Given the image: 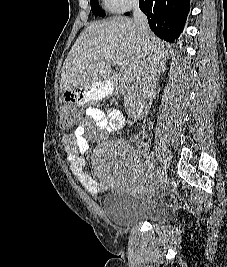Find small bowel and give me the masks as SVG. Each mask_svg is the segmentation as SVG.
I'll list each match as a JSON object with an SVG mask.
<instances>
[{
  "mask_svg": "<svg viewBox=\"0 0 227 267\" xmlns=\"http://www.w3.org/2000/svg\"><path fill=\"white\" fill-rule=\"evenodd\" d=\"M87 119L82 121L74 130L73 134L63 136L65 156L70 164V170L84 189L94 195L103 191V183L86 171V159L84 153L88 150L91 141L103 140L109 134L118 132L125 126L124 115L115 108L106 111L88 106L85 109ZM140 178L136 192L148 195L152 192L146 171H138Z\"/></svg>",
  "mask_w": 227,
  "mask_h": 267,
  "instance_id": "small-bowel-1",
  "label": "small bowel"
}]
</instances>
